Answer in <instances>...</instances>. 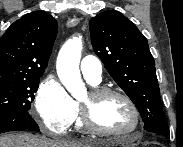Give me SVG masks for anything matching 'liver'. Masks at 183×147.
I'll use <instances>...</instances> for the list:
<instances>
[{"label": "liver", "instance_id": "1", "mask_svg": "<svg viewBox=\"0 0 183 147\" xmlns=\"http://www.w3.org/2000/svg\"><path fill=\"white\" fill-rule=\"evenodd\" d=\"M101 142H67L52 140L26 133H11L0 136V147H95Z\"/></svg>", "mask_w": 183, "mask_h": 147}]
</instances>
